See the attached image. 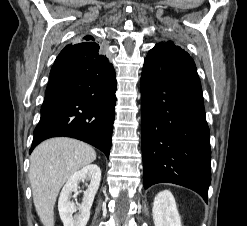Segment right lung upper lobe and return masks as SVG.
Instances as JSON below:
<instances>
[{
  "mask_svg": "<svg viewBox=\"0 0 247 226\" xmlns=\"http://www.w3.org/2000/svg\"><path fill=\"white\" fill-rule=\"evenodd\" d=\"M94 40V37L91 35H86L85 37H83L84 42H94Z\"/></svg>",
  "mask_w": 247,
  "mask_h": 226,
  "instance_id": "obj_1",
  "label": "right lung upper lobe"
}]
</instances>
